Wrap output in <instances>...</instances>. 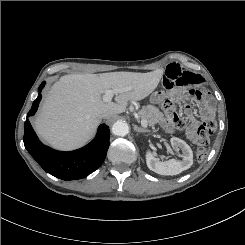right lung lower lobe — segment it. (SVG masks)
<instances>
[{
    "label": "right lung lower lobe",
    "mask_w": 245,
    "mask_h": 245,
    "mask_svg": "<svg viewBox=\"0 0 245 245\" xmlns=\"http://www.w3.org/2000/svg\"><path fill=\"white\" fill-rule=\"evenodd\" d=\"M44 86L45 82H42L38 88V97L27 117L33 116L37 111ZM109 132V127L102 124L95 139L88 145L78 150L63 152L43 145L27 118L23 141L25 148L47 173L63 180H75L87 177L102 165L109 147Z\"/></svg>",
    "instance_id": "1"
}]
</instances>
